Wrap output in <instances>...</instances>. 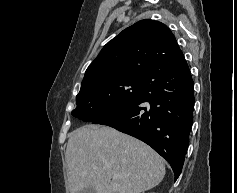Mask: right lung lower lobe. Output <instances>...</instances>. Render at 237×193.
<instances>
[{"instance_id": "98d812e1", "label": "right lung lower lobe", "mask_w": 237, "mask_h": 193, "mask_svg": "<svg viewBox=\"0 0 237 193\" xmlns=\"http://www.w3.org/2000/svg\"><path fill=\"white\" fill-rule=\"evenodd\" d=\"M194 83L182 51L162 59L144 76L135 98L92 121L113 127L151 146L179 177L193 122Z\"/></svg>"}]
</instances>
